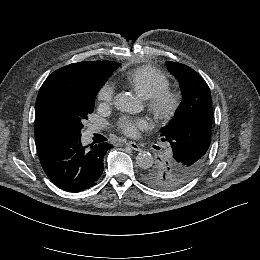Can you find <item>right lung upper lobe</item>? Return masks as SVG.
<instances>
[{"label": "right lung upper lobe", "instance_id": "obj_1", "mask_svg": "<svg viewBox=\"0 0 260 260\" xmlns=\"http://www.w3.org/2000/svg\"><path fill=\"white\" fill-rule=\"evenodd\" d=\"M120 66L112 61H84L73 63L54 71L42 84L35 107V142L39 157L67 139L54 129L50 115L59 96L66 90L75 89L82 83L96 78H107Z\"/></svg>", "mask_w": 260, "mask_h": 260}]
</instances>
